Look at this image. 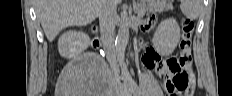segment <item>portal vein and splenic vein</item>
Instances as JSON below:
<instances>
[{"mask_svg": "<svg viewBox=\"0 0 232 96\" xmlns=\"http://www.w3.org/2000/svg\"><path fill=\"white\" fill-rule=\"evenodd\" d=\"M144 13H145V8H143L138 14H139V16H142V15H144Z\"/></svg>", "mask_w": 232, "mask_h": 96, "instance_id": "portal-vein-and-splenic-vein-1", "label": "portal vein and splenic vein"}]
</instances>
